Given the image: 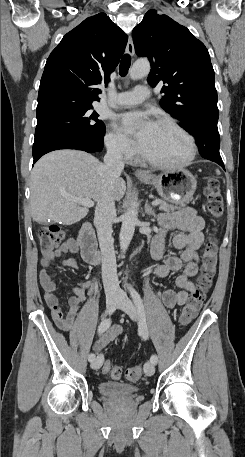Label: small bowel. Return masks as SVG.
I'll return each instance as SVG.
<instances>
[{"label": "small bowel", "instance_id": "1", "mask_svg": "<svg viewBox=\"0 0 245 457\" xmlns=\"http://www.w3.org/2000/svg\"><path fill=\"white\" fill-rule=\"evenodd\" d=\"M159 233L154 238L151 246V253L155 260L162 263L154 267V274L157 277H166L171 271L183 270L175 284L178 290L167 289L162 294L164 305L172 309L184 305L190 292L195 289L192 280L198 275L199 257L197 250L204 240L205 221L198 214L195 208L188 207L182 210L163 213L158 216ZM178 231L173 237V246L182 250L181 255L163 257L164 236L168 231ZM79 250L77 240L69 239L52 253H44L41 259V270L39 274L40 285L43 291L46 304L51 310V315L56 325L63 331L69 333L70 342L81 350L93 348L96 352L104 349L109 343L123 333L120 326H113L102 337L92 344L89 333L74 320L78 313L80 304L84 301L87 293L94 294L96 287L91 281H80L73 288V296L68 300V309L63 311L55 294L56 284L49 274L48 269L55 258L67 253H76ZM62 264L69 268H78L77 261L70 257L64 259Z\"/></svg>", "mask_w": 245, "mask_h": 457}]
</instances>
